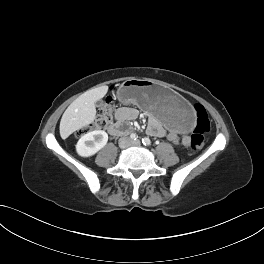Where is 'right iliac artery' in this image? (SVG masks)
<instances>
[{"label": "right iliac artery", "instance_id": "1", "mask_svg": "<svg viewBox=\"0 0 264 264\" xmlns=\"http://www.w3.org/2000/svg\"><path fill=\"white\" fill-rule=\"evenodd\" d=\"M130 138H131L132 140H136V139L138 138V136H137L135 133H132V134L130 135Z\"/></svg>", "mask_w": 264, "mask_h": 264}]
</instances>
